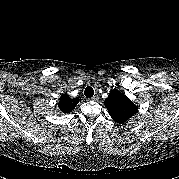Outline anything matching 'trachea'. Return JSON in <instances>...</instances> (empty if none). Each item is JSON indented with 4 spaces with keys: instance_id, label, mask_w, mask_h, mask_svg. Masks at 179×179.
Returning <instances> with one entry per match:
<instances>
[{
    "instance_id": "trachea-1",
    "label": "trachea",
    "mask_w": 179,
    "mask_h": 179,
    "mask_svg": "<svg viewBox=\"0 0 179 179\" xmlns=\"http://www.w3.org/2000/svg\"><path fill=\"white\" fill-rule=\"evenodd\" d=\"M84 94L87 98H92L94 95V89L91 86H87L84 91Z\"/></svg>"
}]
</instances>
